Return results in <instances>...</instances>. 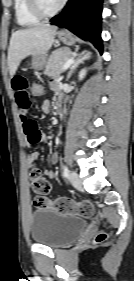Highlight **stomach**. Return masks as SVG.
I'll list each match as a JSON object with an SVG mask.
<instances>
[{"label":"stomach","mask_w":134,"mask_h":281,"mask_svg":"<svg viewBox=\"0 0 134 281\" xmlns=\"http://www.w3.org/2000/svg\"><path fill=\"white\" fill-rule=\"evenodd\" d=\"M58 38L65 45L71 46L76 42V38L67 31H60L57 33ZM47 64V55H32L31 66L34 70H42Z\"/></svg>","instance_id":"obj_1"}]
</instances>
